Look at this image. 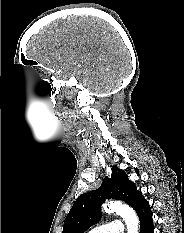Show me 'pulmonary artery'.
Returning <instances> with one entry per match:
<instances>
[{
    "mask_svg": "<svg viewBox=\"0 0 184 233\" xmlns=\"http://www.w3.org/2000/svg\"><path fill=\"white\" fill-rule=\"evenodd\" d=\"M124 227L120 221H111L101 226H98L88 233H123Z\"/></svg>",
    "mask_w": 184,
    "mask_h": 233,
    "instance_id": "e3ab8cb5",
    "label": "pulmonary artery"
}]
</instances>
